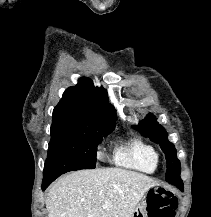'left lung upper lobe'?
I'll return each instance as SVG.
<instances>
[{"instance_id":"obj_1","label":"left lung upper lobe","mask_w":211,"mask_h":217,"mask_svg":"<svg viewBox=\"0 0 211 217\" xmlns=\"http://www.w3.org/2000/svg\"><path fill=\"white\" fill-rule=\"evenodd\" d=\"M134 128L142 135L160 144L167 161L166 181L177 187L183 186L180 178V161L177 159L174 145L167 139V132L164 128L156 122L152 115H148L139 125L134 126Z\"/></svg>"}]
</instances>
